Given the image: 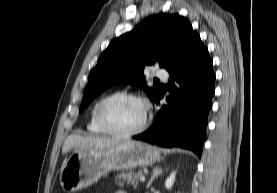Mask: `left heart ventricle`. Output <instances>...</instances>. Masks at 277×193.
I'll use <instances>...</instances> for the list:
<instances>
[{
	"label": "left heart ventricle",
	"mask_w": 277,
	"mask_h": 193,
	"mask_svg": "<svg viewBox=\"0 0 277 193\" xmlns=\"http://www.w3.org/2000/svg\"><path fill=\"white\" fill-rule=\"evenodd\" d=\"M144 105L135 100H119L109 104L104 111L107 124L117 131H129L138 127L144 117Z\"/></svg>",
	"instance_id": "left-heart-ventricle-1"
}]
</instances>
